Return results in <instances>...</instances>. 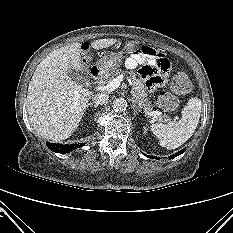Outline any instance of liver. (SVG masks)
Masks as SVG:
<instances>
[{
  "mask_svg": "<svg viewBox=\"0 0 233 233\" xmlns=\"http://www.w3.org/2000/svg\"><path fill=\"white\" fill-rule=\"evenodd\" d=\"M116 39L91 43L95 50L108 48ZM81 43L61 47L49 53L38 65L29 83L27 107L29 120L37 134L52 141L70 137L78 127L92 92L68 76L81 72Z\"/></svg>",
  "mask_w": 233,
  "mask_h": 233,
  "instance_id": "obj_1",
  "label": "liver"
}]
</instances>
